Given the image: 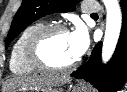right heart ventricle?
I'll list each match as a JSON object with an SVG mask.
<instances>
[{"label":"right heart ventricle","instance_id":"1","mask_svg":"<svg viewBox=\"0 0 127 92\" xmlns=\"http://www.w3.org/2000/svg\"><path fill=\"white\" fill-rule=\"evenodd\" d=\"M44 26L42 22H36L26 27L20 36L15 41L9 60V68L12 73L17 75H29L36 72L26 60L25 50L30 37L41 27Z\"/></svg>","mask_w":127,"mask_h":92}]
</instances>
